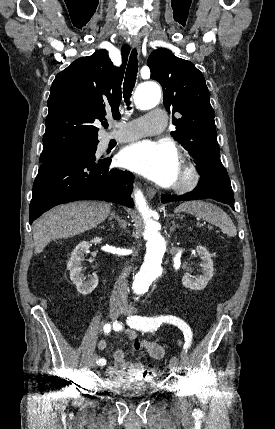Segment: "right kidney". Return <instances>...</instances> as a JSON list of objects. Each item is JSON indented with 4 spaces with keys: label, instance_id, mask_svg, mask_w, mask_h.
<instances>
[{
    "label": "right kidney",
    "instance_id": "1",
    "mask_svg": "<svg viewBox=\"0 0 275 429\" xmlns=\"http://www.w3.org/2000/svg\"><path fill=\"white\" fill-rule=\"evenodd\" d=\"M102 238L96 237L91 243H101ZM90 243L80 242L72 251L71 257L67 263V269L70 271V279L76 285L77 291L82 295L90 294L98 285V276L92 274L88 280L82 274L84 255L89 251Z\"/></svg>",
    "mask_w": 275,
    "mask_h": 429
}]
</instances>
